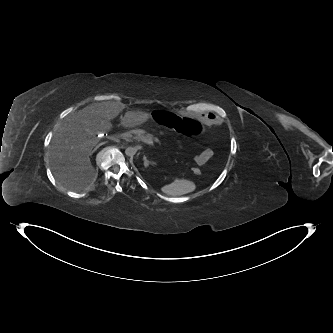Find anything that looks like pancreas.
Returning a JSON list of instances; mask_svg holds the SVG:
<instances>
[{"label":"pancreas","instance_id":"pancreas-1","mask_svg":"<svg viewBox=\"0 0 333 333\" xmlns=\"http://www.w3.org/2000/svg\"><path fill=\"white\" fill-rule=\"evenodd\" d=\"M133 135L129 134V137H132ZM133 138L136 140V141H142V140H151V141H154V142H159V139L156 138V137H153L152 134L150 133H147L141 129H137L134 131V136Z\"/></svg>","mask_w":333,"mask_h":333}]
</instances>
